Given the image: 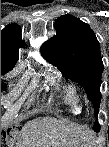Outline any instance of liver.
Masks as SVG:
<instances>
[{
  "label": "liver",
  "instance_id": "obj_1",
  "mask_svg": "<svg viewBox=\"0 0 109 147\" xmlns=\"http://www.w3.org/2000/svg\"><path fill=\"white\" fill-rule=\"evenodd\" d=\"M93 132L71 122L54 118L28 121L20 130L15 147H79L91 142Z\"/></svg>",
  "mask_w": 109,
  "mask_h": 147
}]
</instances>
